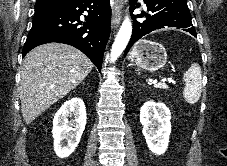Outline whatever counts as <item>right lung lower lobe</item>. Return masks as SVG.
<instances>
[{
    "label": "right lung lower lobe",
    "instance_id": "obj_1",
    "mask_svg": "<svg viewBox=\"0 0 227 166\" xmlns=\"http://www.w3.org/2000/svg\"><path fill=\"white\" fill-rule=\"evenodd\" d=\"M84 11L88 16L82 23L80 15ZM110 23L109 0H71L34 14L22 55L24 57L33 48L50 42L69 44L86 54L100 71Z\"/></svg>",
    "mask_w": 227,
    "mask_h": 166
}]
</instances>
